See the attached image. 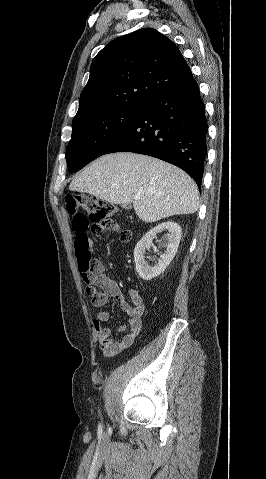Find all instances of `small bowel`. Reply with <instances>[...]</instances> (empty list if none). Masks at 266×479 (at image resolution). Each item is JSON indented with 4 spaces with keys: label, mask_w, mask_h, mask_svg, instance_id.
<instances>
[{
    "label": "small bowel",
    "mask_w": 266,
    "mask_h": 479,
    "mask_svg": "<svg viewBox=\"0 0 266 479\" xmlns=\"http://www.w3.org/2000/svg\"><path fill=\"white\" fill-rule=\"evenodd\" d=\"M93 281L100 290H98L96 297L92 299V305L102 307L109 298H112L127 315L125 324L118 329L121 333L118 340L113 338V329L103 325L110 319L108 311L99 310L93 321V326L98 335L99 349L106 357L115 356L131 346L141 331L145 300L136 289L131 288L129 295L132 305H130L121 292L118 283L104 273V266L101 261L94 263Z\"/></svg>",
    "instance_id": "obj_1"
}]
</instances>
